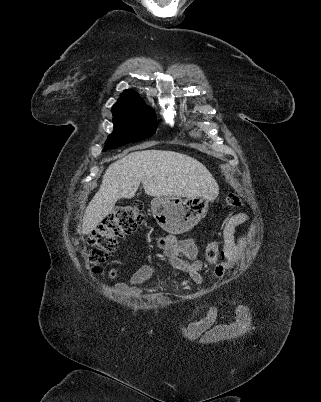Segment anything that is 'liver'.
<instances>
[{"label":"liver","mask_w":321,"mask_h":402,"mask_svg":"<svg viewBox=\"0 0 321 402\" xmlns=\"http://www.w3.org/2000/svg\"><path fill=\"white\" fill-rule=\"evenodd\" d=\"M142 182L150 196L196 197L214 199L219 187L208 169L188 155L164 150L134 151L105 171L98 192L88 204L82 233H91L108 216L121 198L135 196Z\"/></svg>","instance_id":"liver-1"}]
</instances>
